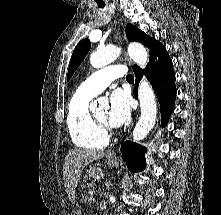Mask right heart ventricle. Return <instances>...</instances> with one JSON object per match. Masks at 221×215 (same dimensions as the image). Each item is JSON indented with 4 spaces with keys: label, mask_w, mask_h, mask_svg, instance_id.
Returning <instances> with one entry per match:
<instances>
[{
    "label": "right heart ventricle",
    "mask_w": 221,
    "mask_h": 215,
    "mask_svg": "<svg viewBox=\"0 0 221 215\" xmlns=\"http://www.w3.org/2000/svg\"><path fill=\"white\" fill-rule=\"evenodd\" d=\"M93 96L80 89L76 90L68 103L66 117L72 142L88 150L102 149L108 141L89 110V102Z\"/></svg>",
    "instance_id": "obj_1"
}]
</instances>
